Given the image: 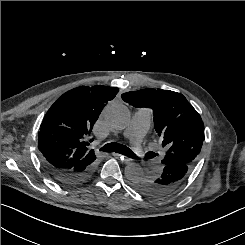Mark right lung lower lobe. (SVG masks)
Instances as JSON below:
<instances>
[{
	"mask_svg": "<svg viewBox=\"0 0 245 245\" xmlns=\"http://www.w3.org/2000/svg\"><path fill=\"white\" fill-rule=\"evenodd\" d=\"M43 166L56 181L66 186H73L86 181L92 176L95 169L94 163L79 171L58 169L45 162H43Z\"/></svg>",
	"mask_w": 245,
	"mask_h": 245,
	"instance_id": "obj_1",
	"label": "right lung lower lobe"
}]
</instances>
